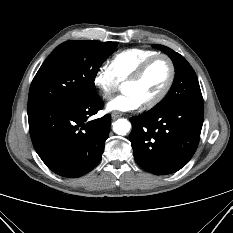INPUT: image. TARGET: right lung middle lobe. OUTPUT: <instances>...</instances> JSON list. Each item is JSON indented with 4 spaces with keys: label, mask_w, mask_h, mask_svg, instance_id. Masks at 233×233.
<instances>
[{
    "label": "right lung middle lobe",
    "mask_w": 233,
    "mask_h": 233,
    "mask_svg": "<svg viewBox=\"0 0 233 233\" xmlns=\"http://www.w3.org/2000/svg\"><path fill=\"white\" fill-rule=\"evenodd\" d=\"M117 43L70 40L57 46L35 75L28 109L72 104L95 94L94 80Z\"/></svg>",
    "instance_id": "right-lung-middle-lobe-1"
}]
</instances>
